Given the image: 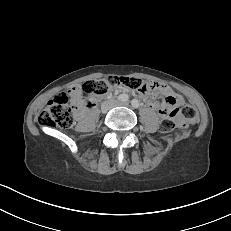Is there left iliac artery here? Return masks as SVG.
Returning a JSON list of instances; mask_svg holds the SVG:
<instances>
[{
    "mask_svg": "<svg viewBox=\"0 0 231 231\" xmlns=\"http://www.w3.org/2000/svg\"><path fill=\"white\" fill-rule=\"evenodd\" d=\"M131 105H132L134 108H138V107H139V102H138V100L133 99V100L131 101Z\"/></svg>",
    "mask_w": 231,
    "mask_h": 231,
    "instance_id": "44dca946",
    "label": "left iliac artery"
}]
</instances>
